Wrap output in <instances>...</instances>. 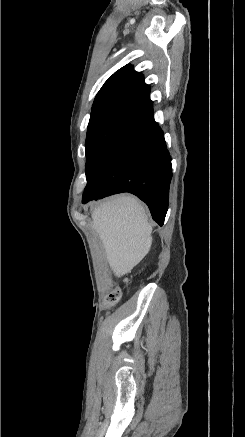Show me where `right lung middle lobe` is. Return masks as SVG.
Segmentation results:
<instances>
[{"instance_id": "dd1d6c3e", "label": "right lung middle lobe", "mask_w": 245, "mask_h": 437, "mask_svg": "<svg viewBox=\"0 0 245 437\" xmlns=\"http://www.w3.org/2000/svg\"><path fill=\"white\" fill-rule=\"evenodd\" d=\"M143 115L140 110L120 104L92 109L85 142L87 180L118 137Z\"/></svg>"}]
</instances>
